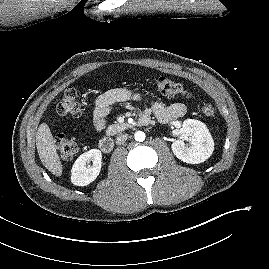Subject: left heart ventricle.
Listing matches in <instances>:
<instances>
[{"label": "left heart ventricle", "mask_w": 269, "mask_h": 269, "mask_svg": "<svg viewBox=\"0 0 269 269\" xmlns=\"http://www.w3.org/2000/svg\"><path fill=\"white\" fill-rule=\"evenodd\" d=\"M46 1L50 3V2H54V1H56V0H46Z\"/></svg>", "instance_id": "1"}]
</instances>
